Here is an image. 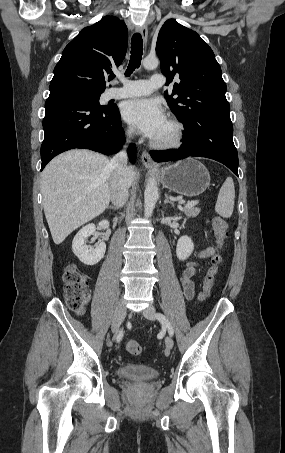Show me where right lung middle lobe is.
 <instances>
[{
	"instance_id": "right-lung-middle-lobe-1",
	"label": "right lung middle lobe",
	"mask_w": 285,
	"mask_h": 453,
	"mask_svg": "<svg viewBox=\"0 0 285 453\" xmlns=\"http://www.w3.org/2000/svg\"><path fill=\"white\" fill-rule=\"evenodd\" d=\"M81 98L91 104L97 110H107L109 106L99 105V98L101 93L87 92V91H76Z\"/></svg>"
}]
</instances>
